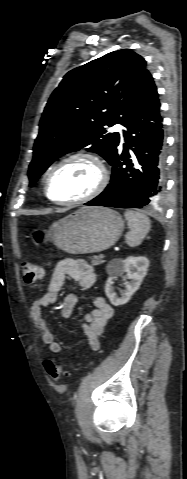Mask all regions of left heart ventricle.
I'll return each instance as SVG.
<instances>
[{
    "mask_svg": "<svg viewBox=\"0 0 187 479\" xmlns=\"http://www.w3.org/2000/svg\"><path fill=\"white\" fill-rule=\"evenodd\" d=\"M97 177L93 163L85 159L73 160L55 172L49 184V194L57 201L77 199L94 188Z\"/></svg>",
    "mask_w": 187,
    "mask_h": 479,
    "instance_id": "obj_1",
    "label": "left heart ventricle"
}]
</instances>
